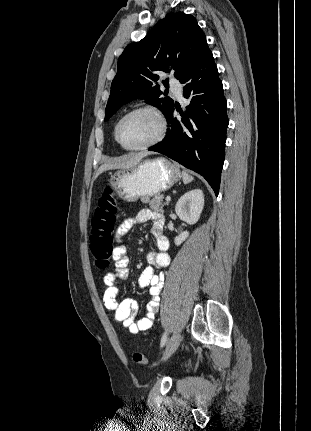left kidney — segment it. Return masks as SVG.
<instances>
[{
    "instance_id": "left-kidney-1",
    "label": "left kidney",
    "mask_w": 311,
    "mask_h": 431,
    "mask_svg": "<svg viewBox=\"0 0 311 431\" xmlns=\"http://www.w3.org/2000/svg\"><path fill=\"white\" fill-rule=\"evenodd\" d=\"M204 208V194L202 190H191L181 196L175 206V212L182 221L186 223H196L202 214ZM189 231H182L180 235L174 237L176 245L183 243L187 239Z\"/></svg>"
}]
</instances>
